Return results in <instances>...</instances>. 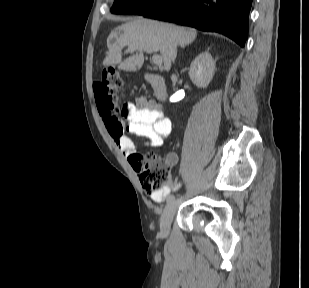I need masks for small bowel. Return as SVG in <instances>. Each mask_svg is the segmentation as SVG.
Returning <instances> with one entry per match:
<instances>
[{"mask_svg": "<svg viewBox=\"0 0 309 288\" xmlns=\"http://www.w3.org/2000/svg\"><path fill=\"white\" fill-rule=\"evenodd\" d=\"M129 117L126 123H117L110 118H103L106 130L112 137L121 152L128 158L131 167L137 170V165L131 159L138 150L133 141L125 134L129 132L143 139V145L148 148H156L162 145L164 139L170 134L172 123L154 101L144 97L136 98L135 103H127ZM167 162L171 166L178 163V155L171 151L166 155ZM179 187L175 181L170 187L158 194H151L150 198L156 203H162L172 190Z\"/></svg>", "mask_w": 309, "mask_h": 288, "instance_id": "obj_1", "label": "small bowel"}]
</instances>
